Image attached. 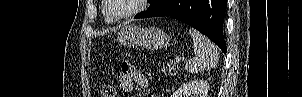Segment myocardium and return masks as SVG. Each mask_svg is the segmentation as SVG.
<instances>
[{
	"label": "myocardium",
	"instance_id": "1",
	"mask_svg": "<svg viewBox=\"0 0 302 97\" xmlns=\"http://www.w3.org/2000/svg\"><path fill=\"white\" fill-rule=\"evenodd\" d=\"M136 1H137L136 7L134 9H132L131 11H129L123 15H115L110 10L109 0H104L103 1L104 12L111 20H115V21H121V20H125L128 18L134 17L145 9L147 2H148V0H136Z\"/></svg>",
	"mask_w": 302,
	"mask_h": 97
}]
</instances>
